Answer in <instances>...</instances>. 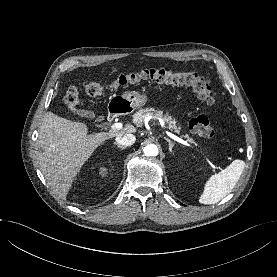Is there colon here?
<instances>
[{
  "label": "colon",
  "mask_w": 277,
  "mask_h": 277,
  "mask_svg": "<svg viewBox=\"0 0 277 277\" xmlns=\"http://www.w3.org/2000/svg\"><path fill=\"white\" fill-rule=\"evenodd\" d=\"M154 81L159 84L188 87L196 96L208 105H214L217 93L209 81L196 72H175L164 67H151L138 71H131L117 75L107 84L88 82L84 85V91L89 96H99L107 89H117L141 81ZM79 90L76 86H70L64 96V103L68 110L74 111L79 104ZM190 130L201 137L210 138L218 134L219 128L211 123L206 115L194 117L189 122Z\"/></svg>",
  "instance_id": "5ec220e1"
}]
</instances>
